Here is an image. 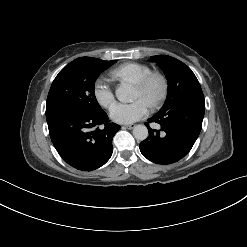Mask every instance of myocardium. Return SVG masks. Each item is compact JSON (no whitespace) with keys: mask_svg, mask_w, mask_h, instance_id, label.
Masks as SVG:
<instances>
[{"mask_svg":"<svg viewBox=\"0 0 247 247\" xmlns=\"http://www.w3.org/2000/svg\"><path fill=\"white\" fill-rule=\"evenodd\" d=\"M135 84L144 95L149 97L151 107H157L164 101L169 86L166 76L160 72H151ZM155 84L158 85L157 90H154Z\"/></svg>","mask_w":247,"mask_h":247,"instance_id":"1","label":"myocardium"}]
</instances>
